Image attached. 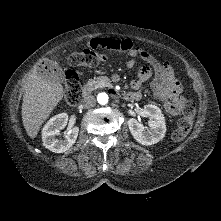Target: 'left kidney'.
<instances>
[{
  "label": "left kidney",
  "mask_w": 221,
  "mask_h": 221,
  "mask_svg": "<svg viewBox=\"0 0 221 221\" xmlns=\"http://www.w3.org/2000/svg\"><path fill=\"white\" fill-rule=\"evenodd\" d=\"M143 114L150 117L149 127L146 130L143 124L134 118L128 120L129 130L134 139L142 145H153L162 140L166 133L165 118L161 110L152 104L144 106Z\"/></svg>",
  "instance_id": "1"
}]
</instances>
